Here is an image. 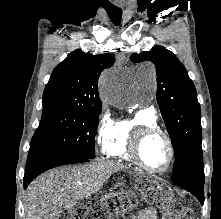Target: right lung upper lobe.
Wrapping results in <instances>:
<instances>
[{
    "mask_svg": "<svg viewBox=\"0 0 221 219\" xmlns=\"http://www.w3.org/2000/svg\"><path fill=\"white\" fill-rule=\"evenodd\" d=\"M114 60L111 53L92 55L82 50L73 51L54 69L43 93V106L102 108L98 78Z\"/></svg>",
    "mask_w": 221,
    "mask_h": 219,
    "instance_id": "obj_1",
    "label": "right lung upper lobe"
}]
</instances>
